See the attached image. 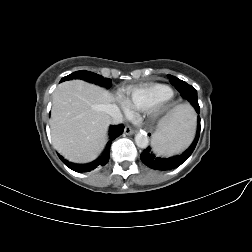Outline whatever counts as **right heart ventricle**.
<instances>
[{"label": "right heart ventricle", "mask_w": 252, "mask_h": 252, "mask_svg": "<svg viewBox=\"0 0 252 252\" xmlns=\"http://www.w3.org/2000/svg\"><path fill=\"white\" fill-rule=\"evenodd\" d=\"M130 110L146 111L153 104L171 97L172 90L170 87L159 83L142 84L135 87L121 89Z\"/></svg>", "instance_id": "e07e8e85"}]
</instances>
